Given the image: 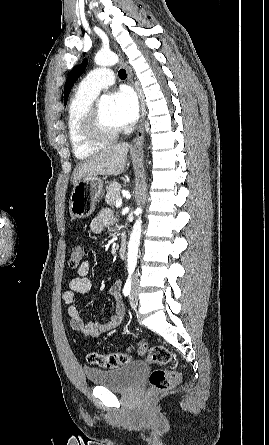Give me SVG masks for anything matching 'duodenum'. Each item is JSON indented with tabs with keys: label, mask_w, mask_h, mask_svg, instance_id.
<instances>
[{
	"label": "duodenum",
	"mask_w": 269,
	"mask_h": 445,
	"mask_svg": "<svg viewBox=\"0 0 269 445\" xmlns=\"http://www.w3.org/2000/svg\"><path fill=\"white\" fill-rule=\"evenodd\" d=\"M127 253V243L126 239L122 238L119 244V255L121 258H125Z\"/></svg>",
	"instance_id": "410a0bca"
}]
</instances>
